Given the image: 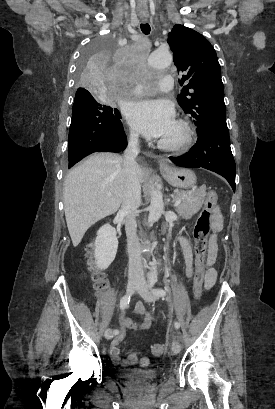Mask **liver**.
<instances>
[{"mask_svg":"<svg viewBox=\"0 0 275 409\" xmlns=\"http://www.w3.org/2000/svg\"><path fill=\"white\" fill-rule=\"evenodd\" d=\"M123 170L120 154L96 152L68 172L64 180V211L73 247L81 243L91 225L118 211L124 192ZM138 174L144 182L141 166Z\"/></svg>","mask_w":275,"mask_h":409,"instance_id":"obj_1","label":"liver"}]
</instances>
